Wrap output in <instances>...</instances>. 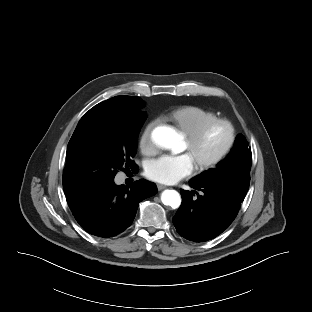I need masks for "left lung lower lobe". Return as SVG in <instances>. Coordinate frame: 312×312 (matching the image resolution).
<instances>
[{
	"label": "left lung lower lobe",
	"instance_id": "obj_1",
	"mask_svg": "<svg viewBox=\"0 0 312 312\" xmlns=\"http://www.w3.org/2000/svg\"><path fill=\"white\" fill-rule=\"evenodd\" d=\"M190 186L202 193L181 191L182 204L173 217V224L187 240L204 242L213 239L233 222L243 200L220 184L191 180Z\"/></svg>",
	"mask_w": 312,
	"mask_h": 312
}]
</instances>
